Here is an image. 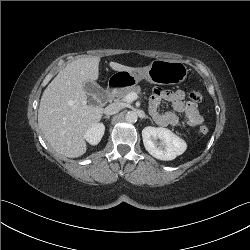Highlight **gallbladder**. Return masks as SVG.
Instances as JSON below:
<instances>
[{"label":"gallbladder","instance_id":"obj_1","mask_svg":"<svg viewBox=\"0 0 250 250\" xmlns=\"http://www.w3.org/2000/svg\"><path fill=\"white\" fill-rule=\"evenodd\" d=\"M84 90L89 95H99L104 93V90L96 82H87L84 86ZM91 103L96 104V101L91 100Z\"/></svg>","mask_w":250,"mask_h":250}]
</instances>
